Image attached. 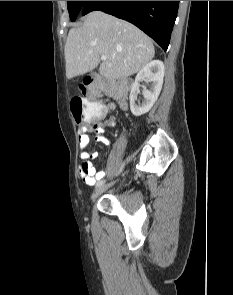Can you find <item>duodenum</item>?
<instances>
[{"instance_id": "duodenum-1", "label": "duodenum", "mask_w": 233, "mask_h": 295, "mask_svg": "<svg viewBox=\"0 0 233 295\" xmlns=\"http://www.w3.org/2000/svg\"><path fill=\"white\" fill-rule=\"evenodd\" d=\"M121 106L125 107L126 106V102L125 101H121Z\"/></svg>"}]
</instances>
